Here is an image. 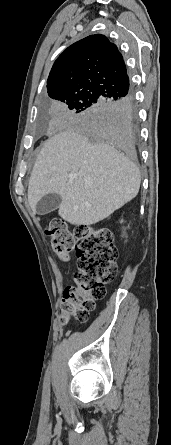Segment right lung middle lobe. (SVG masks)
Listing matches in <instances>:
<instances>
[{
    "label": "right lung middle lobe",
    "instance_id": "1",
    "mask_svg": "<svg viewBox=\"0 0 171 445\" xmlns=\"http://www.w3.org/2000/svg\"><path fill=\"white\" fill-rule=\"evenodd\" d=\"M68 107L67 117L69 121L88 127L91 137L98 139V131L95 127V115L106 103V99L91 91H66L59 97L53 98Z\"/></svg>",
    "mask_w": 171,
    "mask_h": 445
}]
</instances>
